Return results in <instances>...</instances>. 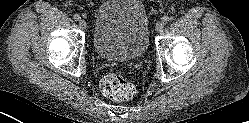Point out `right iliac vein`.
<instances>
[{"label":"right iliac vein","instance_id":"63e3f726","mask_svg":"<svg viewBox=\"0 0 249 123\" xmlns=\"http://www.w3.org/2000/svg\"><path fill=\"white\" fill-rule=\"evenodd\" d=\"M79 26H80L81 29H86V27H87L86 21L83 20V19H80L79 20Z\"/></svg>","mask_w":249,"mask_h":123}]
</instances>
